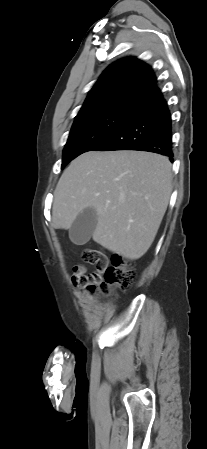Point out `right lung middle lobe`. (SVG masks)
<instances>
[{
    "instance_id": "obj_1",
    "label": "right lung middle lobe",
    "mask_w": 207,
    "mask_h": 449,
    "mask_svg": "<svg viewBox=\"0 0 207 449\" xmlns=\"http://www.w3.org/2000/svg\"><path fill=\"white\" fill-rule=\"evenodd\" d=\"M135 112L114 109L76 117L63 150L62 169L80 154L95 146L122 127Z\"/></svg>"
}]
</instances>
